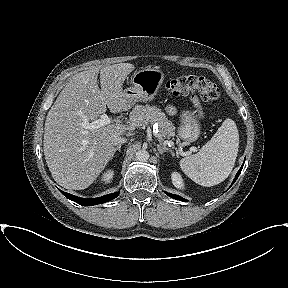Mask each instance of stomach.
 <instances>
[{"label":"stomach","instance_id":"obj_1","mask_svg":"<svg viewBox=\"0 0 288 288\" xmlns=\"http://www.w3.org/2000/svg\"><path fill=\"white\" fill-rule=\"evenodd\" d=\"M164 80V73L153 67L141 68L134 72L131 77L132 86L124 90V97L127 101V108L136 102H148L154 99ZM179 137L192 143L200 135V123L189 112L181 115V125L178 129Z\"/></svg>","mask_w":288,"mask_h":288}]
</instances>
